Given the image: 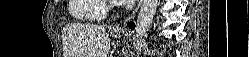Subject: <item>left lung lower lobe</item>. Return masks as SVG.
Listing matches in <instances>:
<instances>
[{
	"label": "left lung lower lobe",
	"instance_id": "1",
	"mask_svg": "<svg viewBox=\"0 0 249 57\" xmlns=\"http://www.w3.org/2000/svg\"><path fill=\"white\" fill-rule=\"evenodd\" d=\"M131 29H134L135 28V24L133 22H129L127 24Z\"/></svg>",
	"mask_w": 249,
	"mask_h": 57
}]
</instances>
